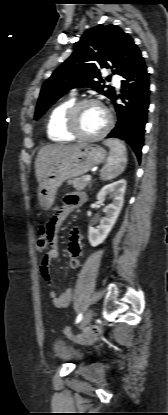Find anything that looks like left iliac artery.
Masks as SVG:
<instances>
[{"label":"left iliac artery","mask_w":168,"mask_h":415,"mask_svg":"<svg viewBox=\"0 0 168 415\" xmlns=\"http://www.w3.org/2000/svg\"><path fill=\"white\" fill-rule=\"evenodd\" d=\"M82 320V313H80L76 318V324H78Z\"/></svg>","instance_id":"1"}]
</instances>
